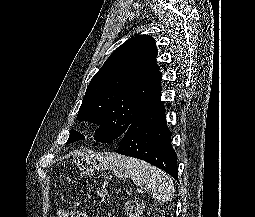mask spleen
I'll use <instances>...</instances> for the list:
<instances>
[{"mask_svg":"<svg viewBox=\"0 0 255 217\" xmlns=\"http://www.w3.org/2000/svg\"><path fill=\"white\" fill-rule=\"evenodd\" d=\"M107 160L116 175L130 177L135 185L148 189L155 201L168 202L173 198V180L162 170L130 157L110 155Z\"/></svg>","mask_w":255,"mask_h":217,"instance_id":"3e777b00","label":"spleen"}]
</instances>
